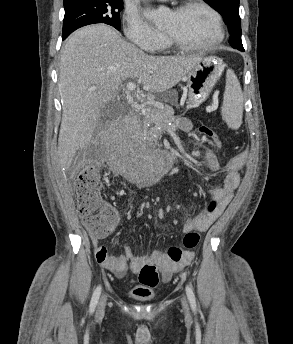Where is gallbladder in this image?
<instances>
[{
	"label": "gallbladder",
	"mask_w": 293,
	"mask_h": 344,
	"mask_svg": "<svg viewBox=\"0 0 293 344\" xmlns=\"http://www.w3.org/2000/svg\"><path fill=\"white\" fill-rule=\"evenodd\" d=\"M119 111V103L115 100L110 101L103 108L102 117L105 119H113L118 115Z\"/></svg>",
	"instance_id": "bac80fb5"
}]
</instances>
